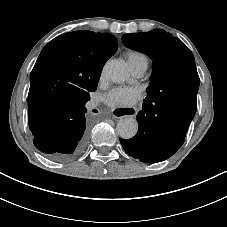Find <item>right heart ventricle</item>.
<instances>
[{
  "label": "right heart ventricle",
  "instance_id": "e07e8e85",
  "mask_svg": "<svg viewBox=\"0 0 227 227\" xmlns=\"http://www.w3.org/2000/svg\"><path fill=\"white\" fill-rule=\"evenodd\" d=\"M125 57L127 58L129 69L131 67H144L146 69L148 66V57L141 51L127 50Z\"/></svg>",
  "mask_w": 227,
  "mask_h": 227
}]
</instances>
